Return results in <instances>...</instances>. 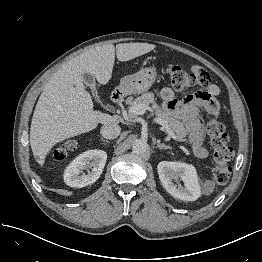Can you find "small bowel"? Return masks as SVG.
Returning a JSON list of instances; mask_svg holds the SVG:
<instances>
[{
  "instance_id": "1",
  "label": "small bowel",
  "mask_w": 262,
  "mask_h": 262,
  "mask_svg": "<svg viewBox=\"0 0 262 262\" xmlns=\"http://www.w3.org/2000/svg\"><path fill=\"white\" fill-rule=\"evenodd\" d=\"M199 70V66L191 67L193 73H198ZM202 83L205 85L203 92L189 95L182 101L175 98L174 91L169 87L162 89L161 98L164 106L171 109L175 117L182 119L188 131L189 143L194 146L198 156L204 159L208 157V151L202 147L204 133L200 110L203 109L208 113H219L217 96L220 94V88L211 83L208 77L202 80Z\"/></svg>"
}]
</instances>
